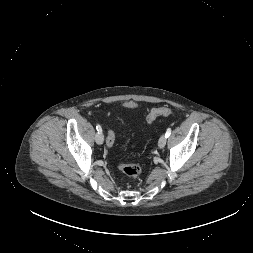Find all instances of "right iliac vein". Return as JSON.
Wrapping results in <instances>:
<instances>
[{
  "instance_id": "obj_1",
  "label": "right iliac vein",
  "mask_w": 253,
  "mask_h": 253,
  "mask_svg": "<svg viewBox=\"0 0 253 253\" xmlns=\"http://www.w3.org/2000/svg\"><path fill=\"white\" fill-rule=\"evenodd\" d=\"M95 141H96V143L99 144V145L103 144L104 136H103L102 132L96 134V136H95Z\"/></svg>"
}]
</instances>
